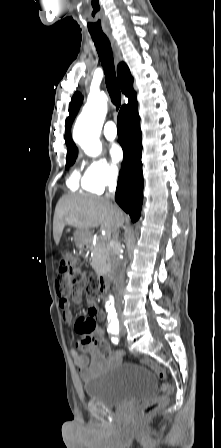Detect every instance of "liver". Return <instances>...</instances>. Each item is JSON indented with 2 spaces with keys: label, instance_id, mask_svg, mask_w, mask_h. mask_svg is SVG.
<instances>
[{
  "label": "liver",
  "instance_id": "1",
  "mask_svg": "<svg viewBox=\"0 0 221 448\" xmlns=\"http://www.w3.org/2000/svg\"><path fill=\"white\" fill-rule=\"evenodd\" d=\"M123 211L111 200L104 197L86 195H65L56 205L53 236L58 245L66 225L81 230H89L100 226L110 235L124 223Z\"/></svg>",
  "mask_w": 221,
  "mask_h": 448
}]
</instances>
